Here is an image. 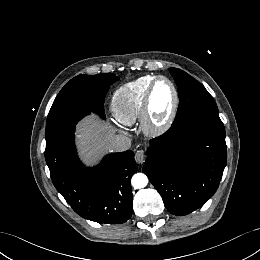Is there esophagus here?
Here are the masks:
<instances>
[{
	"label": "esophagus",
	"instance_id": "1",
	"mask_svg": "<svg viewBox=\"0 0 260 260\" xmlns=\"http://www.w3.org/2000/svg\"><path fill=\"white\" fill-rule=\"evenodd\" d=\"M146 155L143 150H139L135 153V161L138 164H143L145 161Z\"/></svg>",
	"mask_w": 260,
	"mask_h": 260
}]
</instances>
